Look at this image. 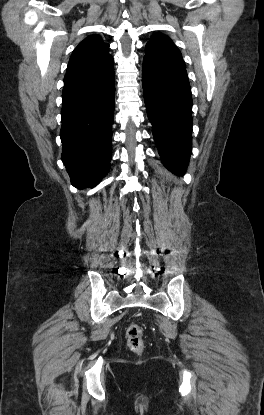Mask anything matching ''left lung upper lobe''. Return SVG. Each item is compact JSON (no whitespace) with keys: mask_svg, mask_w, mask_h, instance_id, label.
<instances>
[{"mask_svg":"<svg viewBox=\"0 0 264 415\" xmlns=\"http://www.w3.org/2000/svg\"><path fill=\"white\" fill-rule=\"evenodd\" d=\"M145 57L163 63L185 67L179 49L169 37L162 34H154L148 41Z\"/></svg>","mask_w":264,"mask_h":415,"instance_id":"1","label":"left lung upper lobe"}]
</instances>
